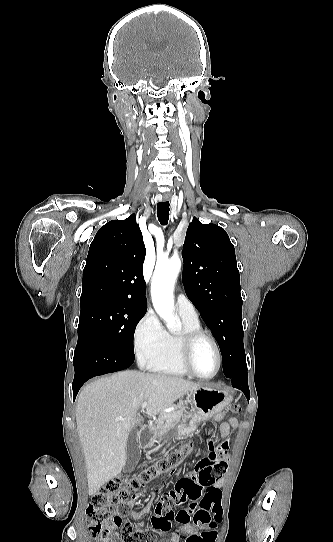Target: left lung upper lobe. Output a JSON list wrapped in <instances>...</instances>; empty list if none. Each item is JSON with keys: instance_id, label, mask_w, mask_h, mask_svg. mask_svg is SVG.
Segmentation results:
<instances>
[{"instance_id": "left-lung-upper-lobe-1", "label": "left lung upper lobe", "mask_w": 333, "mask_h": 542, "mask_svg": "<svg viewBox=\"0 0 333 542\" xmlns=\"http://www.w3.org/2000/svg\"><path fill=\"white\" fill-rule=\"evenodd\" d=\"M186 294L215 336L229 376L246 366L240 275L225 230L193 218L182 250Z\"/></svg>"}]
</instances>
